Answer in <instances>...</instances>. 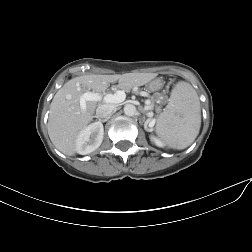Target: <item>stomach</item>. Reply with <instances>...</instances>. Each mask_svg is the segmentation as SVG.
<instances>
[{
    "mask_svg": "<svg viewBox=\"0 0 252 252\" xmlns=\"http://www.w3.org/2000/svg\"><path fill=\"white\" fill-rule=\"evenodd\" d=\"M163 87V81L161 79H155L149 83L148 89L150 92L160 90Z\"/></svg>",
    "mask_w": 252,
    "mask_h": 252,
    "instance_id": "stomach-1",
    "label": "stomach"
}]
</instances>
